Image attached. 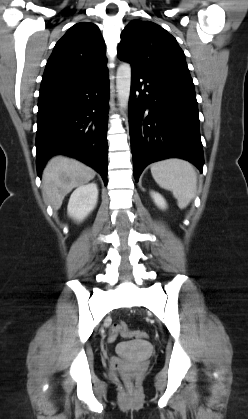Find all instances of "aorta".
<instances>
[{
  "label": "aorta",
  "instance_id": "aorta-1",
  "mask_svg": "<svg viewBox=\"0 0 248 419\" xmlns=\"http://www.w3.org/2000/svg\"><path fill=\"white\" fill-rule=\"evenodd\" d=\"M131 87V66L129 63L119 65L116 74L117 98L121 109H126L129 103Z\"/></svg>",
  "mask_w": 248,
  "mask_h": 419
}]
</instances>
